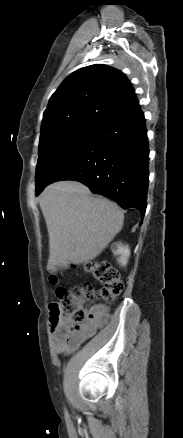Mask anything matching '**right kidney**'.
<instances>
[{"mask_svg":"<svg viewBox=\"0 0 183 438\" xmlns=\"http://www.w3.org/2000/svg\"><path fill=\"white\" fill-rule=\"evenodd\" d=\"M113 253H114V255H120L118 262L122 266H125L127 264L128 258L130 256V249H129L128 245L124 246L121 243L116 244L115 248L113 249Z\"/></svg>","mask_w":183,"mask_h":438,"instance_id":"ca27d5eb","label":"right kidney"}]
</instances>
